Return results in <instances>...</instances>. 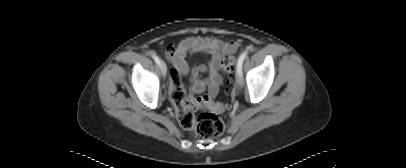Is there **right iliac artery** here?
Listing matches in <instances>:
<instances>
[{
    "mask_svg": "<svg viewBox=\"0 0 406 168\" xmlns=\"http://www.w3.org/2000/svg\"><path fill=\"white\" fill-rule=\"evenodd\" d=\"M152 57H153L154 61L156 62V64H157L158 66H161V61H160V59L158 58V56L155 55V54H152Z\"/></svg>",
    "mask_w": 406,
    "mask_h": 168,
    "instance_id": "right-iliac-artery-1",
    "label": "right iliac artery"
}]
</instances>
